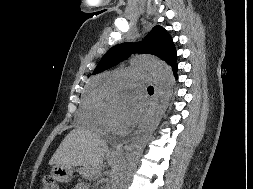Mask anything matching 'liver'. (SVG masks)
I'll use <instances>...</instances> for the list:
<instances>
[{"mask_svg":"<svg viewBox=\"0 0 253 189\" xmlns=\"http://www.w3.org/2000/svg\"><path fill=\"white\" fill-rule=\"evenodd\" d=\"M109 150L97 134L76 128L64 138L49 164L60 166H82V173L88 179L101 175V165Z\"/></svg>","mask_w":253,"mask_h":189,"instance_id":"obj_1","label":"liver"}]
</instances>
